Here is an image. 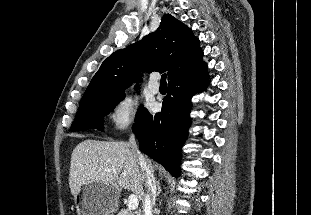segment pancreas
I'll use <instances>...</instances> for the list:
<instances>
[{
  "instance_id": "pancreas-1",
  "label": "pancreas",
  "mask_w": 311,
  "mask_h": 215,
  "mask_svg": "<svg viewBox=\"0 0 311 215\" xmlns=\"http://www.w3.org/2000/svg\"><path fill=\"white\" fill-rule=\"evenodd\" d=\"M118 215H134V213L131 210L122 209Z\"/></svg>"
}]
</instances>
